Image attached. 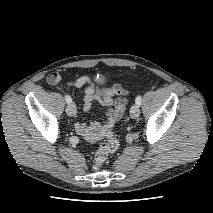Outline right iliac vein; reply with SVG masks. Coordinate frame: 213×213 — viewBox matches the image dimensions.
<instances>
[{
	"instance_id": "right-iliac-vein-1",
	"label": "right iliac vein",
	"mask_w": 213,
	"mask_h": 213,
	"mask_svg": "<svg viewBox=\"0 0 213 213\" xmlns=\"http://www.w3.org/2000/svg\"><path fill=\"white\" fill-rule=\"evenodd\" d=\"M76 106L74 103H71L69 105L66 106V113L69 115V116H75L76 115Z\"/></svg>"
}]
</instances>
